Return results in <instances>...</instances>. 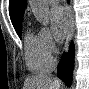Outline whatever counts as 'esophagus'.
I'll use <instances>...</instances> for the list:
<instances>
[{"instance_id":"1","label":"esophagus","mask_w":89,"mask_h":89,"mask_svg":"<svg viewBox=\"0 0 89 89\" xmlns=\"http://www.w3.org/2000/svg\"><path fill=\"white\" fill-rule=\"evenodd\" d=\"M66 12H67V17H68V33H67L65 51L67 52L69 43H70V41L72 39L73 32H74V21H73L72 11H71L69 6L66 8Z\"/></svg>"}]
</instances>
